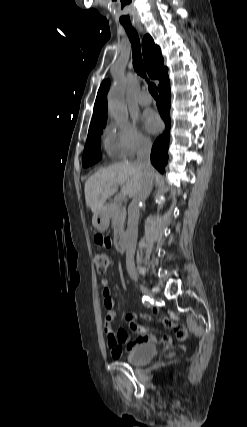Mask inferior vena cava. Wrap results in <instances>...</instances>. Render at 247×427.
Returning <instances> with one entry per match:
<instances>
[{
  "label": "inferior vena cava",
  "mask_w": 247,
  "mask_h": 427,
  "mask_svg": "<svg viewBox=\"0 0 247 427\" xmlns=\"http://www.w3.org/2000/svg\"><path fill=\"white\" fill-rule=\"evenodd\" d=\"M152 148L151 141L143 139L140 141L137 150L136 164L143 172L142 184L134 195L128 208V224L126 230L127 249H126V268L130 274L135 273L134 254L138 235V220L140 216V205L143 204L149 196L152 186L154 171L150 162V152Z\"/></svg>",
  "instance_id": "obj_1"
}]
</instances>
